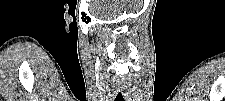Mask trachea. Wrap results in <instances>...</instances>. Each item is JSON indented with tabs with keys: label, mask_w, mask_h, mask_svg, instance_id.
<instances>
[{
	"label": "trachea",
	"mask_w": 225,
	"mask_h": 101,
	"mask_svg": "<svg viewBox=\"0 0 225 101\" xmlns=\"http://www.w3.org/2000/svg\"><path fill=\"white\" fill-rule=\"evenodd\" d=\"M114 101H125V100H124L123 96L121 95V93H119V94L116 96V98H115Z\"/></svg>",
	"instance_id": "trachea-1"
}]
</instances>
